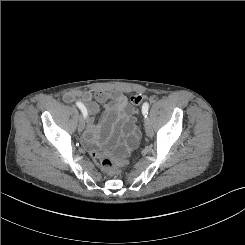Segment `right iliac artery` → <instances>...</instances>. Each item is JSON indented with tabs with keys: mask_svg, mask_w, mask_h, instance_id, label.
<instances>
[{
	"mask_svg": "<svg viewBox=\"0 0 245 245\" xmlns=\"http://www.w3.org/2000/svg\"><path fill=\"white\" fill-rule=\"evenodd\" d=\"M76 105H77L78 108L81 110V112H82L84 118H86L87 115H88V113H87V109H86V107L83 105V103L77 102Z\"/></svg>",
	"mask_w": 245,
	"mask_h": 245,
	"instance_id": "82829eb1",
	"label": "right iliac artery"
}]
</instances>
